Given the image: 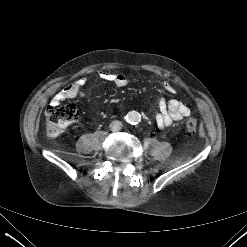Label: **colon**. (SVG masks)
Returning <instances> with one entry per match:
<instances>
[{
  "label": "colon",
  "instance_id": "1",
  "mask_svg": "<svg viewBox=\"0 0 247 247\" xmlns=\"http://www.w3.org/2000/svg\"><path fill=\"white\" fill-rule=\"evenodd\" d=\"M78 117L74 104L59 105L51 103L45 111V131L49 137L60 135ZM198 127L196 117H190L185 124L186 131L193 134Z\"/></svg>",
  "mask_w": 247,
  "mask_h": 247
}]
</instances>
